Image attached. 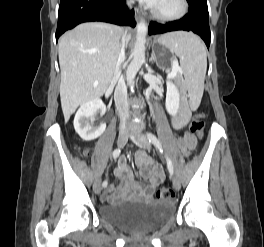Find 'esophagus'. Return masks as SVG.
Wrapping results in <instances>:
<instances>
[{
  "label": "esophagus",
  "instance_id": "obj_1",
  "mask_svg": "<svg viewBox=\"0 0 264 247\" xmlns=\"http://www.w3.org/2000/svg\"><path fill=\"white\" fill-rule=\"evenodd\" d=\"M140 15H141V10H140L139 8H136V9H135V16H136V19H137V20H139Z\"/></svg>",
  "mask_w": 264,
  "mask_h": 247
}]
</instances>
